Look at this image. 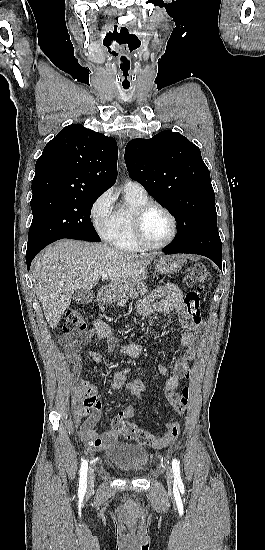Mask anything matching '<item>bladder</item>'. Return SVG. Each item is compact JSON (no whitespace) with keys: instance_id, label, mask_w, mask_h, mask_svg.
I'll return each mask as SVG.
<instances>
[{"instance_id":"bladder-1","label":"bladder","mask_w":265,"mask_h":550,"mask_svg":"<svg viewBox=\"0 0 265 550\" xmlns=\"http://www.w3.org/2000/svg\"><path fill=\"white\" fill-rule=\"evenodd\" d=\"M106 458L120 472L137 476L146 471L153 454L141 445L113 442L106 450Z\"/></svg>"}]
</instances>
